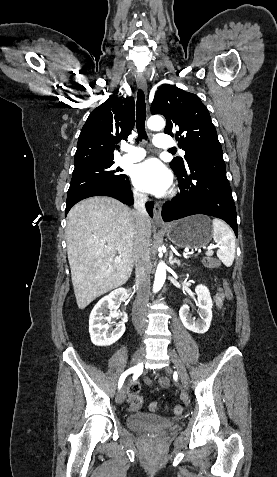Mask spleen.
Wrapping results in <instances>:
<instances>
[{"instance_id": "obj_1", "label": "spleen", "mask_w": 277, "mask_h": 477, "mask_svg": "<svg viewBox=\"0 0 277 477\" xmlns=\"http://www.w3.org/2000/svg\"><path fill=\"white\" fill-rule=\"evenodd\" d=\"M213 239L219 244L217 257L226 267L233 264L235 258V237L232 230L221 220L213 219Z\"/></svg>"}]
</instances>
